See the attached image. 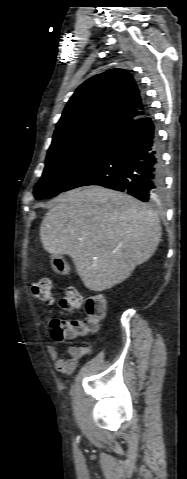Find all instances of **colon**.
Wrapping results in <instances>:
<instances>
[{"instance_id":"colon-1","label":"colon","mask_w":187,"mask_h":479,"mask_svg":"<svg viewBox=\"0 0 187 479\" xmlns=\"http://www.w3.org/2000/svg\"><path fill=\"white\" fill-rule=\"evenodd\" d=\"M30 290L33 297L38 300L46 303H52L54 300L52 283L48 278L33 282ZM60 305L68 312L84 308L86 316L81 319L51 320L52 338L55 340L75 338L95 332L107 312V302L103 294L94 293L84 299L78 289L72 286L63 290Z\"/></svg>"}]
</instances>
